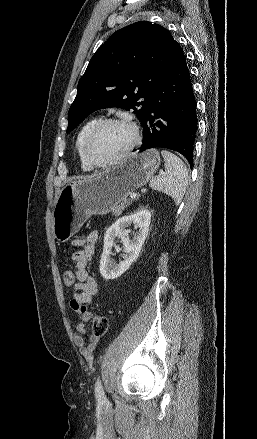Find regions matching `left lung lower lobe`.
<instances>
[{
  "label": "left lung lower lobe",
  "mask_w": 257,
  "mask_h": 439,
  "mask_svg": "<svg viewBox=\"0 0 257 439\" xmlns=\"http://www.w3.org/2000/svg\"><path fill=\"white\" fill-rule=\"evenodd\" d=\"M197 122L190 73L178 45L168 71L155 89L150 109L141 122L143 143L139 150L156 147L174 150L185 156L192 167Z\"/></svg>",
  "instance_id": "obj_1"
}]
</instances>
